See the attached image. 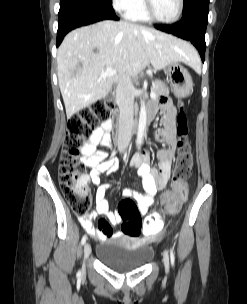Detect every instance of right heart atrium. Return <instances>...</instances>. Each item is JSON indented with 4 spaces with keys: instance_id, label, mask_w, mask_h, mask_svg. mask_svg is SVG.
I'll use <instances>...</instances> for the list:
<instances>
[{
    "instance_id": "d8ad5b80",
    "label": "right heart atrium",
    "mask_w": 247,
    "mask_h": 304,
    "mask_svg": "<svg viewBox=\"0 0 247 304\" xmlns=\"http://www.w3.org/2000/svg\"><path fill=\"white\" fill-rule=\"evenodd\" d=\"M138 1L139 0H112V4L117 11L126 13L134 7Z\"/></svg>"
}]
</instances>
